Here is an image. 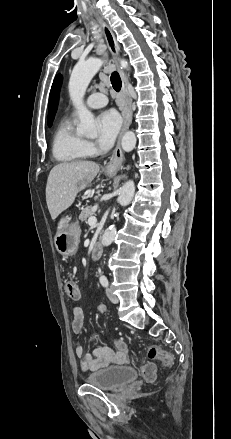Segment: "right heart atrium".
I'll list each match as a JSON object with an SVG mask.
<instances>
[{"mask_svg":"<svg viewBox=\"0 0 231 439\" xmlns=\"http://www.w3.org/2000/svg\"><path fill=\"white\" fill-rule=\"evenodd\" d=\"M85 149H86L88 154H93L96 152V148H95L94 144L90 141H85Z\"/></svg>","mask_w":231,"mask_h":439,"instance_id":"d8ad5b80","label":"right heart atrium"}]
</instances>
